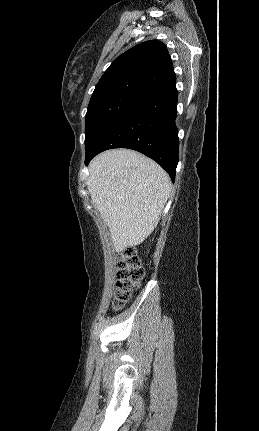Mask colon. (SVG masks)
<instances>
[{
    "label": "colon",
    "instance_id": "obj_1",
    "mask_svg": "<svg viewBox=\"0 0 259 431\" xmlns=\"http://www.w3.org/2000/svg\"><path fill=\"white\" fill-rule=\"evenodd\" d=\"M117 282L114 291L113 308L120 310L132 296V292L144 278L145 271L133 248L121 252L116 261Z\"/></svg>",
    "mask_w": 259,
    "mask_h": 431
}]
</instances>
